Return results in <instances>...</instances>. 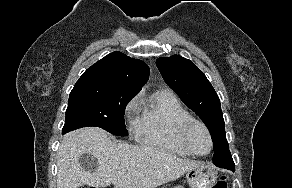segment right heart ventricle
<instances>
[{"label": "right heart ventricle", "instance_id": "1", "mask_svg": "<svg viewBox=\"0 0 292 188\" xmlns=\"http://www.w3.org/2000/svg\"><path fill=\"white\" fill-rule=\"evenodd\" d=\"M191 117L178 97L168 90L154 93L143 105L134 125L137 140L147 146L163 149L174 155L189 157L178 138L179 124Z\"/></svg>", "mask_w": 292, "mask_h": 188}]
</instances>
